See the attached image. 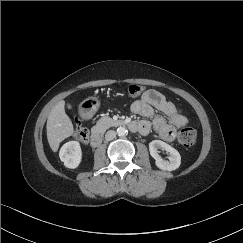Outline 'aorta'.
Listing matches in <instances>:
<instances>
[{
    "instance_id": "762f6f07",
    "label": "aorta",
    "mask_w": 243,
    "mask_h": 243,
    "mask_svg": "<svg viewBox=\"0 0 243 243\" xmlns=\"http://www.w3.org/2000/svg\"><path fill=\"white\" fill-rule=\"evenodd\" d=\"M127 129L125 128V127H118L117 128V134H118V136H121V137H123V136H125V135H127Z\"/></svg>"
}]
</instances>
